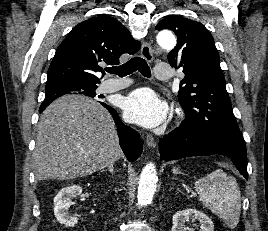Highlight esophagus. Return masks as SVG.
<instances>
[{"label": "esophagus", "mask_w": 268, "mask_h": 231, "mask_svg": "<svg viewBox=\"0 0 268 231\" xmlns=\"http://www.w3.org/2000/svg\"><path fill=\"white\" fill-rule=\"evenodd\" d=\"M141 57L147 60L148 62H151L153 60V50L150 43L145 42L141 47ZM146 145L148 148L155 147V141L151 134H147L146 136Z\"/></svg>", "instance_id": "1"}]
</instances>
